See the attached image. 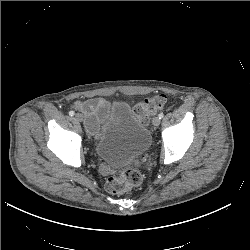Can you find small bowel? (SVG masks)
Returning a JSON list of instances; mask_svg holds the SVG:
<instances>
[{"instance_id": "1", "label": "small bowel", "mask_w": 250, "mask_h": 250, "mask_svg": "<svg viewBox=\"0 0 250 250\" xmlns=\"http://www.w3.org/2000/svg\"><path fill=\"white\" fill-rule=\"evenodd\" d=\"M73 108L84 115V125L91 134L96 133L98 123L109 109V103L103 98H90L84 101H76Z\"/></svg>"}]
</instances>
